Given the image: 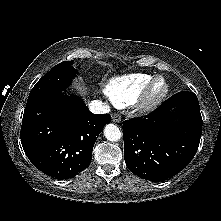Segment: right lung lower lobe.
Returning <instances> with one entry per match:
<instances>
[{
    "mask_svg": "<svg viewBox=\"0 0 221 221\" xmlns=\"http://www.w3.org/2000/svg\"><path fill=\"white\" fill-rule=\"evenodd\" d=\"M110 114H93L84 102L62 91L27 100L20 132L31 163L58 179L71 178L87 168L93 146Z\"/></svg>",
    "mask_w": 221,
    "mask_h": 221,
    "instance_id": "right-lung-lower-lobe-1",
    "label": "right lung lower lobe"
}]
</instances>
